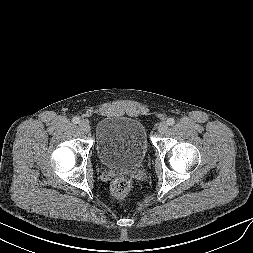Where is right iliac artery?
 <instances>
[{
  "instance_id": "right-iliac-artery-1",
  "label": "right iliac artery",
  "mask_w": 253,
  "mask_h": 253,
  "mask_svg": "<svg viewBox=\"0 0 253 253\" xmlns=\"http://www.w3.org/2000/svg\"><path fill=\"white\" fill-rule=\"evenodd\" d=\"M72 122H73L74 124H78V123L80 122L79 117H73Z\"/></svg>"
}]
</instances>
